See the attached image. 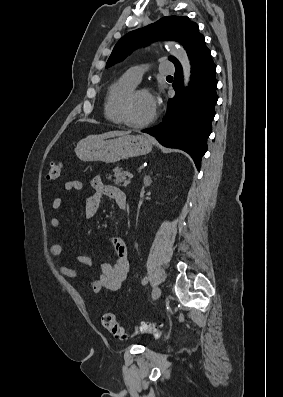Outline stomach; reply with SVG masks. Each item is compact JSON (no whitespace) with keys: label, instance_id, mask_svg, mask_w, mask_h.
Returning a JSON list of instances; mask_svg holds the SVG:
<instances>
[{"label":"stomach","instance_id":"stomach-1","mask_svg":"<svg viewBox=\"0 0 283 397\" xmlns=\"http://www.w3.org/2000/svg\"><path fill=\"white\" fill-rule=\"evenodd\" d=\"M152 147V141L146 135H124L109 140L83 139L77 144L75 153L84 162L115 163L130 157L148 154Z\"/></svg>","mask_w":283,"mask_h":397}]
</instances>
